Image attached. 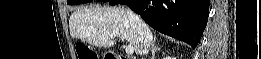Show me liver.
Returning a JSON list of instances; mask_svg holds the SVG:
<instances>
[{
	"label": "liver",
	"instance_id": "liver-1",
	"mask_svg": "<svg viewBox=\"0 0 261 59\" xmlns=\"http://www.w3.org/2000/svg\"><path fill=\"white\" fill-rule=\"evenodd\" d=\"M69 28L73 38L104 48L114 46L115 37H122L137 55H142V45L124 8L89 6L77 9L70 16Z\"/></svg>",
	"mask_w": 261,
	"mask_h": 59
}]
</instances>
